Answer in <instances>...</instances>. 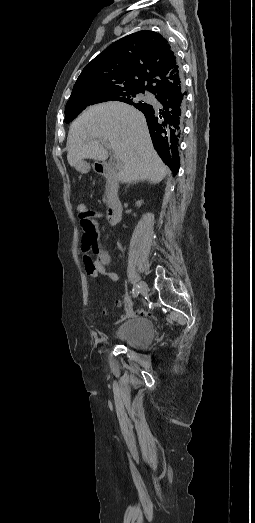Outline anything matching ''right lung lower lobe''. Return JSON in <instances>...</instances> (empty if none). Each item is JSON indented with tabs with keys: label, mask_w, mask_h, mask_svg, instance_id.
<instances>
[{
	"label": "right lung lower lobe",
	"mask_w": 255,
	"mask_h": 523,
	"mask_svg": "<svg viewBox=\"0 0 255 523\" xmlns=\"http://www.w3.org/2000/svg\"><path fill=\"white\" fill-rule=\"evenodd\" d=\"M179 166H180V165H179ZM179 166H178L177 169H176L177 172H178V170H179ZM176 174H177V173H176Z\"/></svg>",
	"instance_id": "98d812e1"
}]
</instances>
